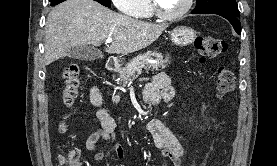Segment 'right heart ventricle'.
Masks as SVG:
<instances>
[{"label":"right heart ventricle","instance_id":"1","mask_svg":"<svg viewBox=\"0 0 277 166\" xmlns=\"http://www.w3.org/2000/svg\"><path fill=\"white\" fill-rule=\"evenodd\" d=\"M152 16H153V12H152L151 6L147 0L144 8L137 15V17L143 18V19H148V18H151Z\"/></svg>","mask_w":277,"mask_h":166}]
</instances>
